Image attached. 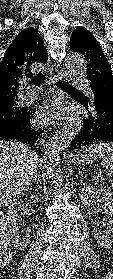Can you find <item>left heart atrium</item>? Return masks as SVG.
Wrapping results in <instances>:
<instances>
[{
  "label": "left heart atrium",
  "instance_id": "left-heart-atrium-1",
  "mask_svg": "<svg viewBox=\"0 0 113 279\" xmlns=\"http://www.w3.org/2000/svg\"><path fill=\"white\" fill-rule=\"evenodd\" d=\"M61 110L58 101L48 99L38 108L36 116L41 122H51L60 115Z\"/></svg>",
  "mask_w": 113,
  "mask_h": 279
}]
</instances>
